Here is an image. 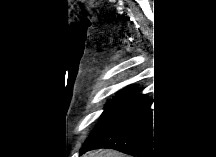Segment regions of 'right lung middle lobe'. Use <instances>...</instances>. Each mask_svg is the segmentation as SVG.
<instances>
[{
	"label": "right lung middle lobe",
	"mask_w": 216,
	"mask_h": 157,
	"mask_svg": "<svg viewBox=\"0 0 216 157\" xmlns=\"http://www.w3.org/2000/svg\"><path fill=\"white\" fill-rule=\"evenodd\" d=\"M135 96V92H119L112 98L106 104L99 122L85 141L83 148L94 145L106 134L111 132L118 125Z\"/></svg>",
	"instance_id": "obj_1"
}]
</instances>
